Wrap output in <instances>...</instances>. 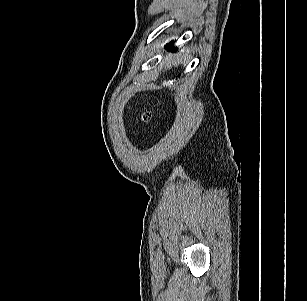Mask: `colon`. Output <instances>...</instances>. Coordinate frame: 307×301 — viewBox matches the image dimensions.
I'll return each mask as SVG.
<instances>
[{
    "label": "colon",
    "mask_w": 307,
    "mask_h": 301,
    "mask_svg": "<svg viewBox=\"0 0 307 301\" xmlns=\"http://www.w3.org/2000/svg\"><path fill=\"white\" fill-rule=\"evenodd\" d=\"M152 118H153V116H152V114L150 112L144 114V116H143V120L147 121V122L152 120Z\"/></svg>",
    "instance_id": "colon-1"
}]
</instances>
